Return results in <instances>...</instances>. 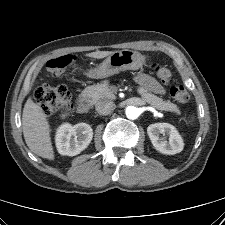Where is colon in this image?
Listing matches in <instances>:
<instances>
[{
    "instance_id": "obj_1",
    "label": "colon",
    "mask_w": 225,
    "mask_h": 225,
    "mask_svg": "<svg viewBox=\"0 0 225 225\" xmlns=\"http://www.w3.org/2000/svg\"><path fill=\"white\" fill-rule=\"evenodd\" d=\"M76 60L73 55H63L51 59L46 64L47 72L54 76H60ZM154 74L163 82H169L171 71L161 65L152 64ZM170 94L176 101L186 103L189 100V93L183 84H176L170 88ZM34 98L44 115L50 116L58 113L65 116L71 109L70 92L64 86H51L43 84L34 92Z\"/></svg>"
}]
</instances>
